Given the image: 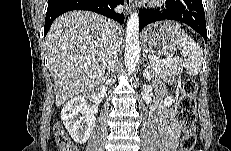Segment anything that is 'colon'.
I'll list each match as a JSON object with an SVG mask.
<instances>
[{
  "instance_id": "obj_1",
  "label": "colon",
  "mask_w": 231,
  "mask_h": 151,
  "mask_svg": "<svg viewBox=\"0 0 231 151\" xmlns=\"http://www.w3.org/2000/svg\"><path fill=\"white\" fill-rule=\"evenodd\" d=\"M179 101V117L183 125V134L180 140L181 151H191L196 144L195 124L197 121L196 92L197 84L193 79L185 80L181 85ZM54 137L60 151H77L63 126L59 123L54 126Z\"/></svg>"
}]
</instances>
